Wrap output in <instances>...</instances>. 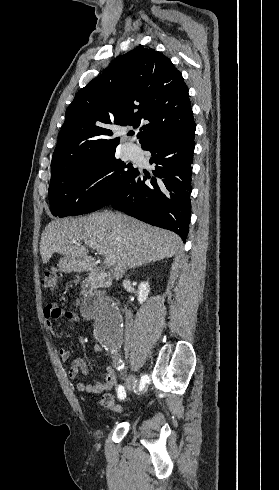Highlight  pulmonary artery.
<instances>
[{
  "label": "pulmonary artery",
  "instance_id": "1",
  "mask_svg": "<svg viewBox=\"0 0 279 490\" xmlns=\"http://www.w3.org/2000/svg\"><path fill=\"white\" fill-rule=\"evenodd\" d=\"M135 150H136V147L131 145V146H127L124 150V153H125V156L129 157V158H132L135 156Z\"/></svg>",
  "mask_w": 279,
  "mask_h": 490
}]
</instances>
